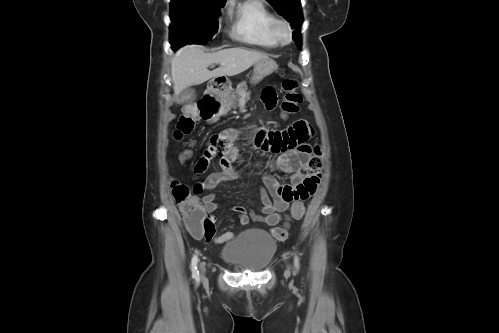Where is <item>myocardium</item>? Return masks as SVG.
Listing matches in <instances>:
<instances>
[{
	"instance_id": "myocardium-1",
	"label": "myocardium",
	"mask_w": 499,
	"mask_h": 333,
	"mask_svg": "<svg viewBox=\"0 0 499 333\" xmlns=\"http://www.w3.org/2000/svg\"><path fill=\"white\" fill-rule=\"evenodd\" d=\"M271 31L278 43L287 44L292 39V27L284 18H275L271 24Z\"/></svg>"
}]
</instances>
